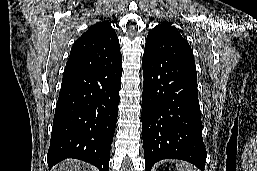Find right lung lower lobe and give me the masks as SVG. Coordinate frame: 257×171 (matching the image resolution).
I'll return each mask as SVG.
<instances>
[{"mask_svg": "<svg viewBox=\"0 0 257 171\" xmlns=\"http://www.w3.org/2000/svg\"><path fill=\"white\" fill-rule=\"evenodd\" d=\"M121 76L122 60L98 70L63 75L47 154L49 168L76 158L109 171Z\"/></svg>", "mask_w": 257, "mask_h": 171, "instance_id": "obj_1", "label": "right lung lower lobe"}]
</instances>
